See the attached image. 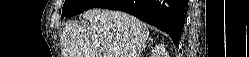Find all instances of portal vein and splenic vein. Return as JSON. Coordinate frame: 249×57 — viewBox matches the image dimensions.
I'll return each mask as SVG.
<instances>
[{
  "label": "portal vein and splenic vein",
  "instance_id": "18ae733b",
  "mask_svg": "<svg viewBox=\"0 0 249 57\" xmlns=\"http://www.w3.org/2000/svg\"><path fill=\"white\" fill-rule=\"evenodd\" d=\"M104 57H109V55H104Z\"/></svg>",
  "mask_w": 249,
  "mask_h": 57
}]
</instances>
